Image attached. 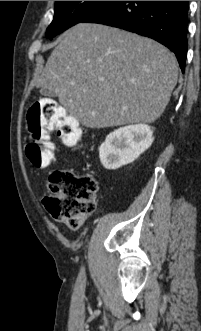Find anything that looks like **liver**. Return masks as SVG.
I'll return each instance as SVG.
<instances>
[{"label": "liver", "instance_id": "6515ba94", "mask_svg": "<svg viewBox=\"0 0 201 331\" xmlns=\"http://www.w3.org/2000/svg\"><path fill=\"white\" fill-rule=\"evenodd\" d=\"M178 64L162 44L118 28L79 23L67 30L36 79L84 126L152 123L177 83Z\"/></svg>", "mask_w": 201, "mask_h": 331}]
</instances>
